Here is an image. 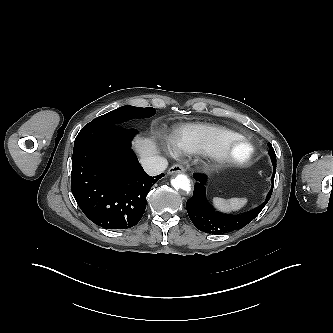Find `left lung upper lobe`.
Listing matches in <instances>:
<instances>
[{"instance_id":"5c2ea615","label":"left lung upper lobe","mask_w":333,"mask_h":333,"mask_svg":"<svg viewBox=\"0 0 333 333\" xmlns=\"http://www.w3.org/2000/svg\"><path fill=\"white\" fill-rule=\"evenodd\" d=\"M268 147H269V152L268 153L271 157L273 167H276V155H275L274 149H273V147L270 143H268Z\"/></svg>"}]
</instances>
